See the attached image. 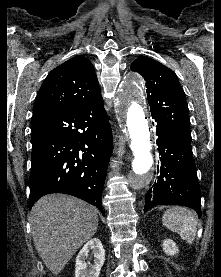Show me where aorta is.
<instances>
[{
    "label": "aorta",
    "mask_w": 221,
    "mask_h": 277,
    "mask_svg": "<svg viewBox=\"0 0 221 277\" xmlns=\"http://www.w3.org/2000/svg\"><path fill=\"white\" fill-rule=\"evenodd\" d=\"M143 85L140 77L129 73L118 92L117 111L125 133L131 140L133 152L130 186L146 187L153 179L154 160L150 140L149 122L142 100Z\"/></svg>",
    "instance_id": "obj_1"
}]
</instances>
